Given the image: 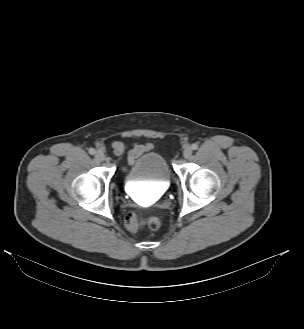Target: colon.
Returning <instances> with one entry per match:
<instances>
[{"mask_svg":"<svg viewBox=\"0 0 304 329\" xmlns=\"http://www.w3.org/2000/svg\"><path fill=\"white\" fill-rule=\"evenodd\" d=\"M125 225L130 231H138L145 225L149 229L156 231L161 226V218L153 216L146 220H141L136 213L130 212L125 216Z\"/></svg>","mask_w":304,"mask_h":329,"instance_id":"obj_1","label":"colon"}]
</instances>
